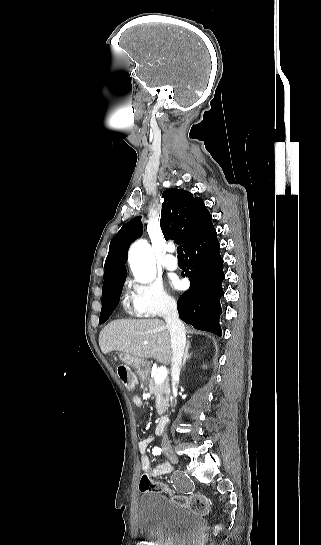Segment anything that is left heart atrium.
Listing matches in <instances>:
<instances>
[{"mask_svg":"<svg viewBox=\"0 0 321 545\" xmlns=\"http://www.w3.org/2000/svg\"><path fill=\"white\" fill-rule=\"evenodd\" d=\"M170 284H171L172 287H174L176 289L180 288V282L177 279L171 280Z\"/></svg>","mask_w":321,"mask_h":545,"instance_id":"39dd6f15","label":"left heart atrium"}]
</instances>
